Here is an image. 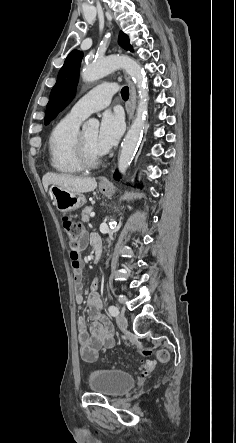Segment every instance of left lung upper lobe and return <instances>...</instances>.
Instances as JSON below:
<instances>
[{
    "instance_id": "left-lung-upper-lobe-1",
    "label": "left lung upper lobe",
    "mask_w": 236,
    "mask_h": 443,
    "mask_svg": "<svg viewBox=\"0 0 236 443\" xmlns=\"http://www.w3.org/2000/svg\"><path fill=\"white\" fill-rule=\"evenodd\" d=\"M119 44L126 50L133 51L129 38L123 32L119 34ZM83 53L73 50L67 56L63 67L60 69L56 84L50 93L47 104L45 124L53 120L73 99L79 79L80 63Z\"/></svg>"
}]
</instances>
